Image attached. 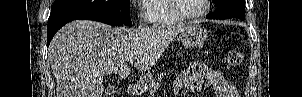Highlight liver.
Masks as SVG:
<instances>
[{
    "instance_id": "liver-1",
    "label": "liver",
    "mask_w": 302,
    "mask_h": 97,
    "mask_svg": "<svg viewBox=\"0 0 302 97\" xmlns=\"http://www.w3.org/2000/svg\"><path fill=\"white\" fill-rule=\"evenodd\" d=\"M184 28L183 25L113 28L89 20L66 24L49 46L57 97H102L105 74L128 77L129 57L135 58L138 71H148Z\"/></svg>"
}]
</instances>
